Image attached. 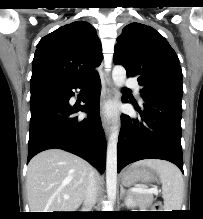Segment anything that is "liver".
<instances>
[{"instance_id":"obj_1","label":"liver","mask_w":203,"mask_h":219,"mask_svg":"<svg viewBox=\"0 0 203 219\" xmlns=\"http://www.w3.org/2000/svg\"><path fill=\"white\" fill-rule=\"evenodd\" d=\"M92 171L87 161L61 149L37 154L27 170L31 212H75L85 197Z\"/></svg>"}]
</instances>
